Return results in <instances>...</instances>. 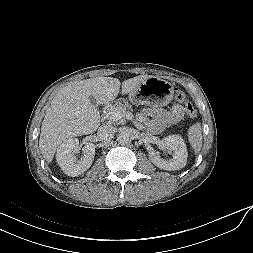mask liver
Returning a JSON list of instances; mask_svg holds the SVG:
<instances>
[{
	"mask_svg": "<svg viewBox=\"0 0 253 253\" xmlns=\"http://www.w3.org/2000/svg\"><path fill=\"white\" fill-rule=\"evenodd\" d=\"M150 75H140L122 82V94L136 90ZM120 81L113 77H96L71 83L60 89L47 109L41 126L39 147L48 163L65 140L91 134L100 125L97 103L113 101L119 93Z\"/></svg>",
	"mask_w": 253,
	"mask_h": 253,
	"instance_id": "6515ba94",
	"label": "liver"
}]
</instances>
